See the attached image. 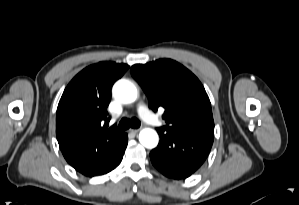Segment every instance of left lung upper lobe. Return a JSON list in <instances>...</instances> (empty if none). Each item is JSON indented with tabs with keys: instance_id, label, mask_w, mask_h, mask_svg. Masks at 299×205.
Instances as JSON below:
<instances>
[{
	"instance_id": "obj_1",
	"label": "left lung upper lobe",
	"mask_w": 299,
	"mask_h": 205,
	"mask_svg": "<svg viewBox=\"0 0 299 205\" xmlns=\"http://www.w3.org/2000/svg\"><path fill=\"white\" fill-rule=\"evenodd\" d=\"M131 74L149 100V107L162 116L167 125L158 130L183 132L214 138V121L208 95L187 68L171 59H160L147 64H136Z\"/></svg>"
}]
</instances>
